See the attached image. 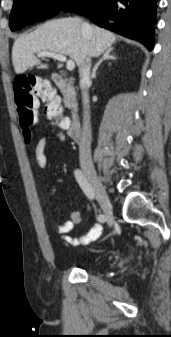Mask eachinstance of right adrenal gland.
Segmentation results:
<instances>
[{
    "mask_svg": "<svg viewBox=\"0 0 171 337\" xmlns=\"http://www.w3.org/2000/svg\"><path fill=\"white\" fill-rule=\"evenodd\" d=\"M113 49L110 48L108 50H106L102 56V58L96 63V65L93 68L92 74H91V78L95 79L96 78V71L98 70V67L101 65V63L104 60H116L117 58L114 55H111V51Z\"/></svg>",
    "mask_w": 171,
    "mask_h": 337,
    "instance_id": "obj_1",
    "label": "right adrenal gland"
}]
</instances>
